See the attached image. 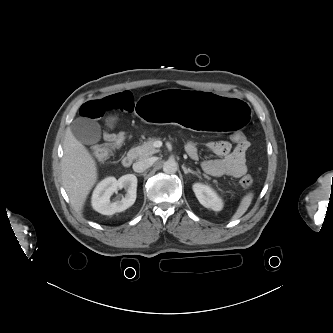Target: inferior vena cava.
<instances>
[{"instance_id": "602c4592", "label": "inferior vena cava", "mask_w": 333, "mask_h": 333, "mask_svg": "<svg viewBox=\"0 0 333 333\" xmlns=\"http://www.w3.org/2000/svg\"><path fill=\"white\" fill-rule=\"evenodd\" d=\"M153 161L151 159H141L133 164V170L141 173L152 166Z\"/></svg>"}]
</instances>
